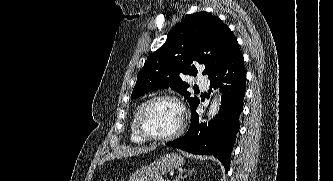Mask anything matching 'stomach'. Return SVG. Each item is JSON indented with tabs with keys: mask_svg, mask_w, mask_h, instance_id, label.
<instances>
[{
	"mask_svg": "<svg viewBox=\"0 0 333 181\" xmlns=\"http://www.w3.org/2000/svg\"><path fill=\"white\" fill-rule=\"evenodd\" d=\"M184 164V159L175 153L160 156L150 164L137 169L130 176V181H157L158 178Z\"/></svg>",
	"mask_w": 333,
	"mask_h": 181,
	"instance_id": "stomach-1",
	"label": "stomach"
}]
</instances>
